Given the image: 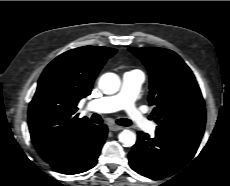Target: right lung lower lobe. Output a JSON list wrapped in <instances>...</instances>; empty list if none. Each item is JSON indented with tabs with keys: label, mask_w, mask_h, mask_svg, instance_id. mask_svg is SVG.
<instances>
[{
	"label": "right lung lower lobe",
	"mask_w": 230,
	"mask_h": 186,
	"mask_svg": "<svg viewBox=\"0 0 230 186\" xmlns=\"http://www.w3.org/2000/svg\"><path fill=\"white\" fill-rule=\"evenodd\" d=\"M107 131L106 125L90 124L41 157L58 172H85L97 163Z\"/></svg>",
	"instance_id": "1"
}]
</instances>
